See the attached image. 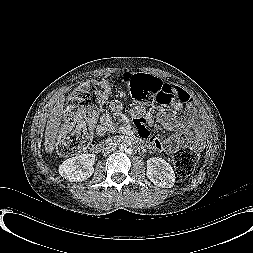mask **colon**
I'll return each mask as SVG.
<instances>
[{"label": "colon", "instance_id": "colon-1", "mask_svg": "<svg viewBox=\"0 0 253 253\" xmlns=\"http://www.w3.org/2000/svg\"><path fill=\"white\" fill-rule=\"evenodd\" d=\"M124 82L131 97L142 104L166 106L180 99L171 83L150 74L128 72L124 75ZM109 94V85L103 81L85 82L73 92L67 103L65 123L58 140L61 154L74 155L86 148L91 137V124ZM197 160V152L185 144L173 156L175 169L181 177L191 174Z\"/></svg>", "mask_w": 253, "mask_h": 253}]
</instances>
